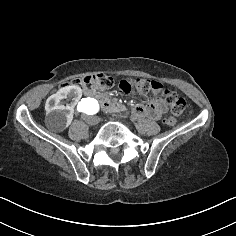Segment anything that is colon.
<instances>
[{
	"label": "colon",
	"instance_id": "5ec220e1",
	"mask_svg": "<svg viewBox=\"0 0 236 236\" xmlns=\"http://www.w3.org/2000/svg\"><path fill=\"white\" fill-rule=\"evenodd\" d=\"M68 85L79 86L85 91H98L113 87L114 80L112 77L104 73H93L84 77L75 78L70 82L62 84L63 87ZM117 85L120 91L123 93H129L132 88H135L141 93L153 92L161 95L165 99L166 103L170 106V110L173 115L164 120V123L168 126H174L176 123L175 117L180 116L185 110V100L181 98L175 91L164 87L159 82L143 78H124L119 80Z\"/></svg>",
	"mask_w": 236,
	"mask_h": 236
}]
</instances>
